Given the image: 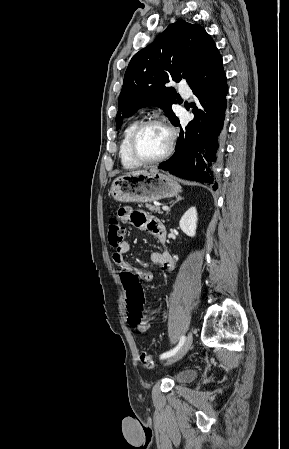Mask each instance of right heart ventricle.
<instances>
[{"label": "right heart ventricle", "instance_id": "obj_1", "mask_svg": "<svg viewBox=\"0 0 289 449\" xmlns=\"http://www.w3.org/2000/svg\"><path fill=\"white\" fill-rule=\"evenodd\" d=\"M138 123V120H133L125 127L120 143L119 156L123 167L126 169H135L140 166V164L132 158L129 147L130 137Z\"/></svg>", "mask_w": 289, "mask_h": 449}]
</instances>
